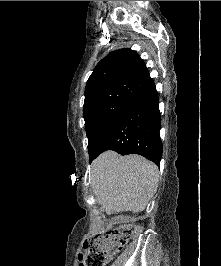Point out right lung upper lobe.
<instances>
[{"mask_svg":"<svg viewBox=\"0 0 221 266\" xmlns=\"http://www.w3.org/2000/svg\"><path fill=\"white\" fill-rule=\"evenodd\" d=\"M151 80L147 67L135 51L119 49L96 65L87 81L85 96L98 89L122 85L143 87Z\"/></svg>","mask_w":221,"mask_h":266,"instance_id":"right-lung-upper-lobe-1","label":"right lung upper lobe"}]
</instances>
